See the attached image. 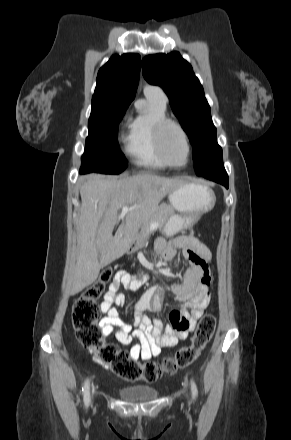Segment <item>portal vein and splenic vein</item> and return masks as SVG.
<instances>
[{
    "label": "portal vein and splenic vein",
    "mask_w": 291,
    "mask_h": 440,
    "mask_svg": "<svg viewBox=\"0 0 291 440\" xmlns=\"http://www.w3.org/2000/svg\"><path fill=\"white\" fill-rule=\"evenodd\" d=\"M133 209H134V207H128V206L122 207V216L125 215L128 211H131ZM157 227H158V224L157 223H153L151 225L150 229L151 230H155V229H157Z\"/></svg>",
    "instance_id": "18ae733b"
}]
</instances>
